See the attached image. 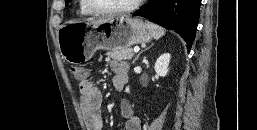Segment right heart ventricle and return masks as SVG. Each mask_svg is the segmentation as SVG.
I'll return each mask as SVG.
<instances>
[{"instance_id": "right-heart-ventricle-1", "label": "right heart ventricle", "mask_w": 257, "mask_h": 130, "mask_svg": "<svg viewBox=\"0 0 257 130\" xmlns=\"http://www.w3.org/2000/svg\"><path fill=\"white\" fill-rule=\"evenodd\" d=\"M79 12L81 15H84V16H89L92 14L84 6L83 0H79Z\"/></svg>"}]
</instances>
